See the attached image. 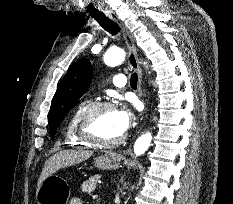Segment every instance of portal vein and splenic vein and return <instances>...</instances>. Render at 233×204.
<instances>
[{
	"label": "portal vein and splenic vein",
	"instance_id": "portal-vein-and-splenic-vein-1",
	"mask_svg": "<svg viewBox=\"0 0 233 204\" xmlns=\"http://www.w3.org/2000/svg\"><path fill=\"white\" fill-rule=\"evenodd\" d=\"M97 197H98L97 195H94V196H93V199H97Z\"/></svg>",
	"mask_w": 233,
	"mask_h": 204
}]
</instances>
